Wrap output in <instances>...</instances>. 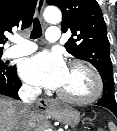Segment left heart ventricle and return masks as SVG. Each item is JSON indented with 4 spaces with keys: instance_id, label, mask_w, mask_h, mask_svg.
Segmentation results:
<instances>
[{
    "instance_id": "1",
    "label": "left heart ventricle",
    "mask_w": 117,
    "mask_h": 131,
    "mask_svg": "<svg viewBox=\"0 0 117 131\" xmlns=\"http://www.w3.org/2000/svg\"><path fill=\"white\" fill-rule=\"evenodd\" d=\"M93 83L90 75L81 68H68L66 78L59 91L75 97H83L91 93Z\"/></svg>"
}]
</instances>
